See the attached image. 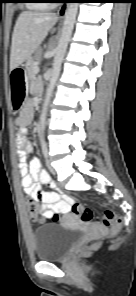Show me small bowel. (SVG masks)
I'll use <instances>...</instances> for the list:
<instances>
[{
  "instance_id": "c3829d8e",
  "label": "small bowel",
  "mask_w": 136,
  "mask_h": 296,
  "mask_svg": "<svg viewBox=\"0 0 136 296\" xmlns=\"http://www.w3.org/2000/svg\"><path fill=\"white\" fill-rule=\"evenodd\" d=\"M32 114L33 107L32 103L29 102L17 118V124L19 126L17 157L21 186L26 195L44 204L40 214L44 218L51 219L68 213L72 198L69 195L63 194L57 188L56 183L51 180L50 175L42 169L38 158L33 157L27 162L28 154L33 151L32 143L25 138L27 125L32 119ZM43 184H48L51 190H43ZM30 218L35 221L38 219V214L31 215Z\"/></svg>"
}]
</instances>
